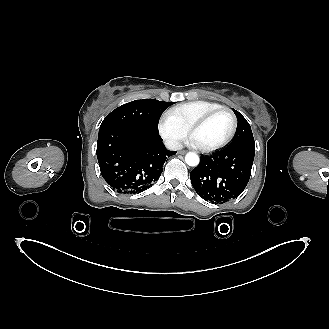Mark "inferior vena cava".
<instances>
[{"label":"inferior vena cava","instance_id":"inferior-vena-cava-1","mask_svg":"<svg viewBox=\"0 0 329 329\" xmlns=\"http://www.w3.org/2000/svg\"><path fill=\"white\" fill-rule=\"evenodd\" d=\"M164 144L171 151H177L183 148V145L180 142L173 139L166 140Z\"/></svg>","mask_w":329,"mask_h":329}]
</instances>
